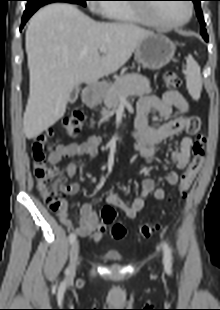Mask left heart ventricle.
<instances>
[{"label":"left heart ventricle","mask_w":220,"mask_h":310,"mask_svg":"<svg viewBox=\"0 0 220 310\" xmlns=\"http://www.w3.org/2000/svg\"><path fill=\"white\" fill-rule=\"evenodd\" d=\"M154 14L166 22H178L187 16L185 3L160 4L152 9Z\"/></svg>","instance_id":"b2bd125f"}]
</instances>
